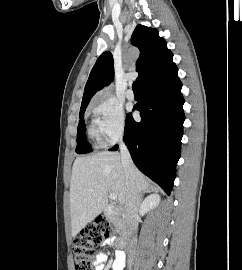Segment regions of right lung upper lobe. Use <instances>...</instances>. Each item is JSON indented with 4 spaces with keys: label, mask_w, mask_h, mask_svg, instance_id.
I'll list each match as a JSON object with an SVG mask.
<instances>
[{
    "label": "right lung upper lobe",
    "mask_w": 242,
    "mask_h": 270,
    "mask_svg": "<svg viewBox=\"0 0 242 270\" xmlns=\"http://www.w3.org/2000/svg\"><path fill=\"white\" fill-rule=\"evenodd\" d=\"M132 45L140 50V56L136 63L139 73L137 80L142 86L148 78L161 70L172 60V53L167 48V43L159 37L155 29L138 25L131 37ZM113 56L106 51L101 54L93 66L86 83L81 109L86 108L92 96L113 80Z\"/></svg>",
    "instance_id": "cb5924a9"
}]
</instances>
